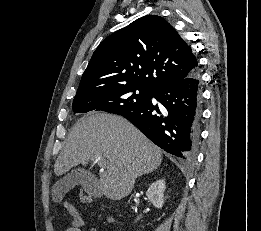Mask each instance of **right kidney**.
Wrapping results in <instances>:
<instances>
[{
  "mask_svg": "<svg viewBox=\"0 0 261 231\" xmlns=\"http://www.w3.org/2000/svg\"><path fill=\"white\" fill-rule=\"evenodd\" d=\"M164 190L165 181L157 180L149 186L146 192V196L156 208H162L164 204Z\"/></svg>",
  "mask_w": 261,
  "mask_h": 231,
  "instance_id": "right-kidney-1",
  "label": "right kidney"
}]
</instances>
